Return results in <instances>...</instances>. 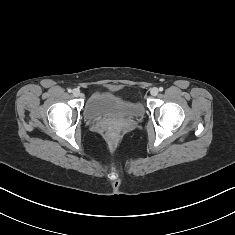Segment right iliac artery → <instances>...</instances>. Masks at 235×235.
<instances>
[{
	"label": "right iliac artery",
	"instance_id": "obj_1",
	"mask_svg": "<svg viewBox=\"0 0 235 235\" xmlns=\"http://www.w3.org/2000/svg\"><path fill=\"white\" fill-rule=\"evenodd\" d=\"M68 92H69V93H71V92H72V90L69 88V89H68Z\"/></svg>",
	"mask_w": 235,
	"mask_h": 235
}]
</instances>
